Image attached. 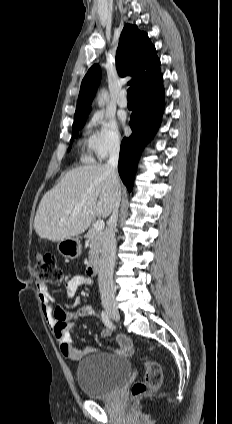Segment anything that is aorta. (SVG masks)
<instances>
[{"label": "aorta", "mask_w": 232, "mask_h": 424, "mask_svg": "<svg viewBox=\"0 0 232 424\" xmlns=\"http://www.w3.org/2000/svg\"><path fill=\"white\" fill-rule=\"evenodd\" d=\"M108 100V93L105 89L101 90L98 96V105L100 107L104 106L105 102Z\"/></svg>", "instance_id": "aorta-1"}]
</instances>
